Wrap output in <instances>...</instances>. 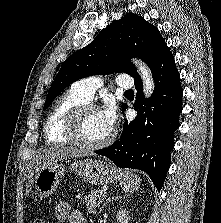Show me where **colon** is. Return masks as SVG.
<instances>
[{"label":"colon","mask_w":221,"mask_h":223,"mask_svg":"<svg viewBox=\"0 0 221 223\" xmlns=\"http://www.w3.org/2000/svg\"><path fill=\"white\" fill-rule=\"evenodd\" d=\"M33 223H47L43 217H37Z\"/></svg>","instance_id":"5ec220e1"}]
</instances>
